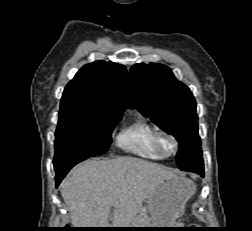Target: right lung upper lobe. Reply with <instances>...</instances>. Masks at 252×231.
<instances>
[{"label":"right lung upper lobe","mask_w":252,"mask_h":231,"mask_svg":"<svg viewBox=\"0 0 252 231\" xmlns=\"http://www.w3.org/2000/svg\"><path fill=\"white\" fill-rule=\"evenodd\" d=\"M126 69L103 60L86 64L67 84L60 108H83L122 114Z\"/></svg>","instance_id":"1"}]
</instances>
